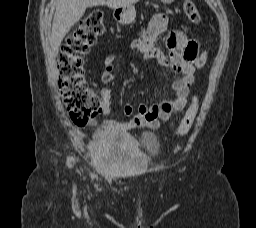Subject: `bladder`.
I'll list each match as a JSON object with an SVG mask.
<instances>
[{
  "label": "bladder",
  "instance_id": "bladder-1",
  "mask_svg": "<svg viewBox=\"0 0 256 228\" xmlns=\"http://www.w3.org/2000/svg\"><path fill=\"white\" fill-rule=\"evenodd\" d=\"M158 136L151 131L143 133L142 143L125 134L104 133L96 136L91 145V154L96 164L118 173H132L143 169L148 163V154L160 152ZM113 163V167H109Z\"/></svg>",
  "mask_w": 256,
  "mask_h": 228
}]
</instances>
